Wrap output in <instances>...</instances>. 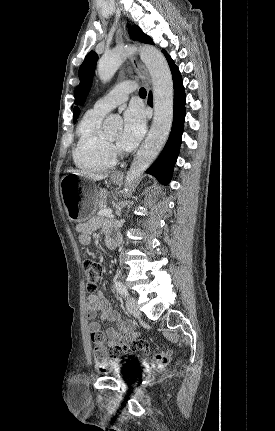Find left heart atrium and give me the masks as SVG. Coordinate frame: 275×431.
Wrapping results in <instances>:
<instances>
[{"instance_id": "obj_1", "label": "left heart atrium", "mask_w": 275, "mask_h": 431, "mask_svg": "<svg viewBox=\"0 0 275 431\" xmlns=\"http://www.w3.org/2000/svg\"><path fill=\"white\" fill-rule=\"evenodd\" d=\"M123 130L118 139V146L124 151L133 150L146 131V121L143 110L138 106H131L124 113Z\"/></svg>"}]
</instances>
